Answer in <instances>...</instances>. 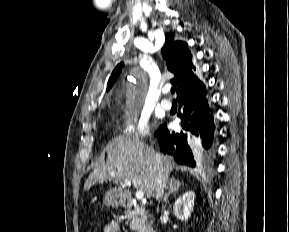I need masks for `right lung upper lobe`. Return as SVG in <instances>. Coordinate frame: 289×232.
Here are the masks:
<instances>
[{"mask_svg":"<svg viewBox=\"0 0 289 232\" xmlns=\"http://www.w3.org/2000/svg\"><path fill=\"white\" fill-rule=\"evenodd\" d=\"M162 55L167 62V68L174 73L172 82L177 85V99L184 96L205 91L204 83L195 74L196 67L192 63V55L188 45L182 41H175L172 33L166 34V42L162 48ZM124 64H118L107 84V91L113 86Z\"/></svg>","mask_w":289,"mask_h":232,"instance_id":"1","label":"right lung upper lobe"}]
</instances>
